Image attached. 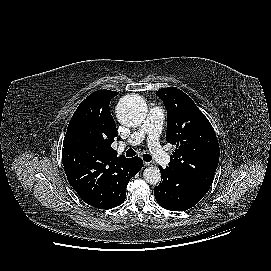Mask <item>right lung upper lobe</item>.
<instances>
[{"mask_svg":"<svg viewBox=\"0 0 271 271\" xmlns=\"http://www.w3.org/2000/svg\"><path fill=\"white\" fill-rule=\"evenodd\" d=\"M117 94L118 92L110 90L93 92L81 102L70 120L66 134L79 126H84L90 131V153L117 157V152L112 149L111 144L118 132L109 109L111 99ZM63 150L69 149L64 147Z\"/></svg>","mask_w":271,"mask_h":271,"instance_id":"right-lung-upper-lobe-1","label":"right lung upper lobe"}]
</instances>
